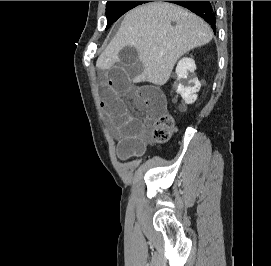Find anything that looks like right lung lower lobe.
<instances>
[{
	"label": "right lung lower lobe",
	"mask_w": 271,
	"mask_h": 266,
	"mask_svg": "<svg viewBox=\"0 0 271 266\" xmlns=\"http://www.w3.org/2000/svg\"><path fill=\"white\" fill-rule=\"evenodd\" d=\"M186 7L202 17L214 30L216 29V16L211 1H167Z\"/></svg>",
	"instance_id": "98d812e1"
}]
</instances>
